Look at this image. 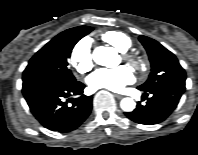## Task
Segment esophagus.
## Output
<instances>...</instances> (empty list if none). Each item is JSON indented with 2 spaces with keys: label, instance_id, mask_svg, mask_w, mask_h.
Masks as SVG:
<instances>
[{
  "label": "esophagus",
  "instance_id": "34e87169",
  "mask_svg": "<svg viewBox=\"0 0 198 155\" xmlns=\"http://www.w3.org/2000/svg\"><path fill=\"white\" fill-rule=\"evenodd\" d=\"M115 97H116L117 99H122L124 96H123V95H120V94H115Z\"/></svg>",
  "mask_w": 198,
  "mask_h": 155
}]
</instances>
